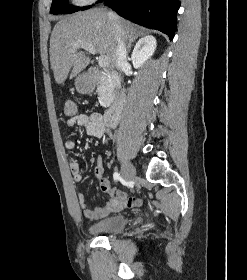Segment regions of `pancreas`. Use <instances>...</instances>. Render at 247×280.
<instances>
[{
	"instance_id": "obj_1",
	"label": "pancreas",
	"mask_w": 247,
	"mask_h": 280,
	"mask_svg": "<svg viewBox=\"0 0 247 280\" xmlns=\"http://www.w3.org/2000/svg\"><path fill=\"white\" fill-rule=\"evenodd\" d=\"M115 85L112 81H110L106 77H102L100 81V85L97 89L98 92V100L102 107H107L112 102L115 94H114Z\"/></svg>"
}]
</instances>
